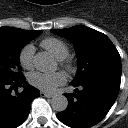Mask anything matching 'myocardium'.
I'll list each match as a JSON object with an SVG mask.
<instances>
[{
	"label": "myocardium",
	"mask_w": 128,
	"mask_h": 128,
	"mask_svg": "<svg viewBox=\"0 0 128 128\" xmlns=\"http://www.w3.org/2000/svg\"><path fill=\"white\" fill-rule=\"evenodd\" d=\"M60 66L69 73H72L75 70L74 61L70 57H66L60 60Z\"/></svg>",
	"instance_id": "1"
}]
</instances>
